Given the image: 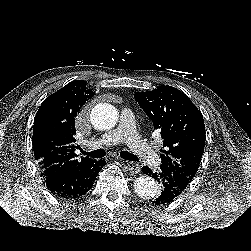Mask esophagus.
<instances>
[{
  "label": "esophagus",
  "instance_id": "1",
  "mask_svg": "<svg viewBox=\"0 0 251 251\" xmlns=\"http://www.w3.org/2000/svg\"><path fill=\"white\" fill-rule=\"evenodd\" d=\"M117 159L121 160V161H124V159H122L121 157L119 156H116ZM129 171L132 173V174H138L140 173L141 171V166L140 164L138 163H134V162H130V161H125Z\"/></svg>",
  "mask_w": 251,
  "mask_h": 251
}]
</instances>
